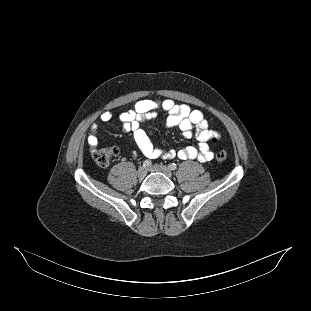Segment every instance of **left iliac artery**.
I'll return each mask as SVG.
<instances>
[{
	"label": "left iliac artery",
	"mask_w": 311,
	"mask_h": 311,
	"mask_svg": "<svg viewBox=\"0 0 311 311\" xmlns=\"http://www.w3.org/2000/svg\"><path fill=\"white\" fill-rule=\"evenodd\" d=\"M170 170H176L177 169V165L175 163H171L168 165Z\"/></svg>",
	"instance_id": "44dca946"
}]
</instances>
